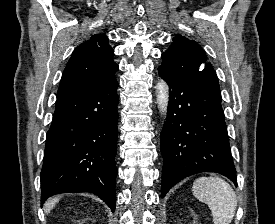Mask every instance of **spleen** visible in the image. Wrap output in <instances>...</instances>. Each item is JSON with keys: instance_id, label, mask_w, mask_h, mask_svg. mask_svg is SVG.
<instances>
[{"instance_id": "1", "label": "spleen", "mask_w": 275, "mask_h": 224, "mask_svg": "<svg viewBox=\"0 0 275 224\" xmlns=\"http://www.w3.org/2000/svg\"><path fill=\"white\" fill-rule=\"evenodd\" d=\"M193 195L208 205L214 224L232 222L237 207V197L225 180L220 177H200L193 183Z\"/></svg>"}]
</instances>
